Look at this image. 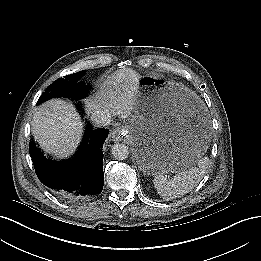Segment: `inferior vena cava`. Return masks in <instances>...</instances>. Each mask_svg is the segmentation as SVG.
Listing matches in <instances>:
<instances>
[{
	"label": "inferior vena cava",
	"mask_w": 261,
	"mask_h": 261,
	"mask_svg": "<svg viewBox=\"0 0 261 261\" xmlns=\"http://www.w3.org/2000/svg\"><path fill=\"white\" fill-rule=\"evenodd\" d=\"M111 118L112 114L107 109L95 110L91 115L92 122L98 127L109 125Z\"/></svg>",
	"instance_id": "602c4592"
}]
</instances>
